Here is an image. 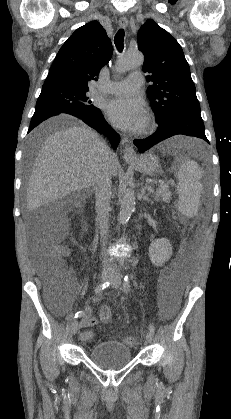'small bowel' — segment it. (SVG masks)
<instances>
[{"label":"small bowel","mask_w":231,"mask_h":419,"mask_svg":"<svg viewBox=\"0 0 231 419\" xmlns=\"http://www.w3.org/2000/svg\"><path fill=\"white\" fill-rule=\"evenodd\" d=\"M158 295L160 298L162 313L166 316H171L179 305V290L174 280L167 275V270L162 274L158 286ZM84 317L81 321V328L83 329L81 336L84 341H89L93 337L90 327L97 324V319L91 315L89 308H85Z\"/></svg>","instance_id":"c3829d8e"}]
</instances>
